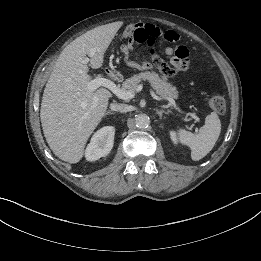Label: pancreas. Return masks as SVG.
<instances>
[{"mask_svg": "<svg viewBox=\"0 0 261 261\" xmlns=\"http://www.w3.org/2000/svg\"><path fill=\"white\" fill-rule=\"evenodd\" d=\"M141 80H148L154 87L156 93L162 98L175 99L178 97L176 87L170 84L167 79L161 78L155 71H145L135 74L123 82L122 89L124 91L135 92Z\"/></svg>", "mask_w": 261, "mask_h": 261, "instance_id": "pancreas-1", "label": "pancreas"}]
</instances>
